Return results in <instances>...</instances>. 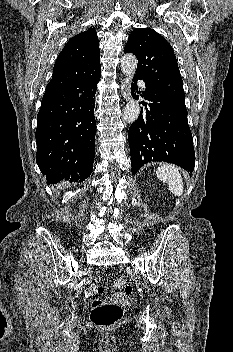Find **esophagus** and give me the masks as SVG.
Returning <instances> with one entry per match:
<instances>
[{
	"label": "esophagus",
	"mask_w": 233,
	"mask_h": 352,
	"mask_svg": "<svg viewBox=\"0 0 233 352\" xmlns=\"http://www.w3.org/2000/svg\"><path fill=\"white\" fill-rule=\"evenodd\" d=\"M121 94L123 98L127 101L130 98V78L124 77L121 80Z\"/></svg>",
	"instance_id": "obj_1"
}]
</instances>
